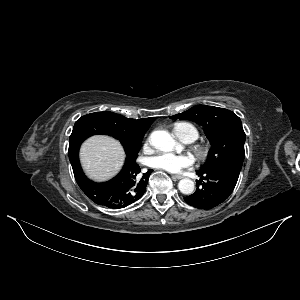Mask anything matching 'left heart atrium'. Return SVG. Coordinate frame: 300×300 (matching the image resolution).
I'll return each instance as SVG.
<instances>
[{
    "instance_id": "left-heart-atrium-1",
    "label": "left heart atrium",
    "mask_w": 300,
    "mask_h": 300,
    "mask_svg": "<svg viewBox=\"0 0 300 300\" xmlns=\"http://www.w3.org/2000/svg\"><path fill=\"white\" fill-rule=\"evenodd\" d=\"M148 164L155 169L170 173H179L184 169L191 168L194 164V158L188 154L162 152L151 156Z\"/></svg>"
}]
</instances>
